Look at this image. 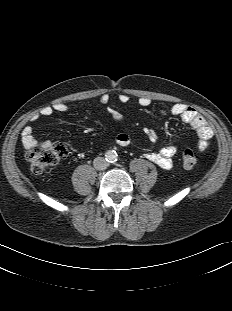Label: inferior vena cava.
<instances>
[{"instance_id": "inferior-vena-cava-1", "label": "inferior vena cava", "mask_w": 232, "mask_h": 311, "mask_svg": "<svg viewBox=\"0 0 232 311\" xmlns=\"http://www.w3.org/2000/svg\"><path fill=\"white\" fill-rule=\"evenodd\" d=\"M93 165L96 170H105L108 166V163L106 162L105 158L103 157H96L93 161Z\"/></svg>"}]
</instances>
